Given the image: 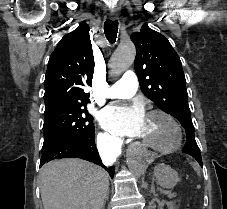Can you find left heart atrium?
Returning <instances> with one entry per match:
<instances>
[{"label":"left heart atrium","instance_id":"39dd6f15","mask_svg":"<svg viewBox=\"0 0 227 209\" xmlns=\"http://www.w3.org/2000/svg\"><path fill=\"white\" fill-rule=\"evenodd\" d=\"M145 120L144 105L139 100L110 104L99 116L101 126L116 135L137 134Z\"/></svg>","mask_w":227,"mask_h":209}]
</instances>
